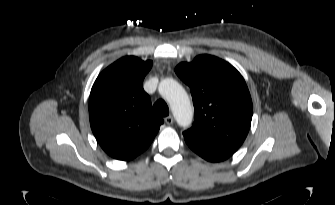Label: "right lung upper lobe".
Wrapping results in <instances>:
<instances>
[{"instance_id": "1", "label": "right lung upper lobe", "mask_w": 335, "mask_h": 205, "mask_svg": "<svg viewBox=\"0 0 335 205\" xmlns=\"http://www.w3.org/2000/svg\"><path fill=\"white\" fill-rule=\"evenodd\" d=\"M152 61L127 56L99 74L91 89V129L111 157L131 160L146 150L163 119L151 110V100L142 88Z\"/></svg>"}]
</instances>
